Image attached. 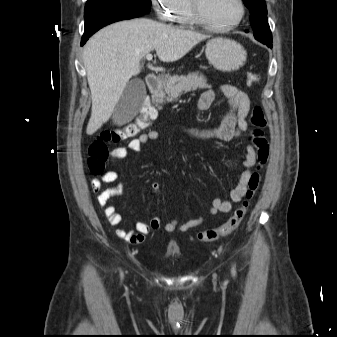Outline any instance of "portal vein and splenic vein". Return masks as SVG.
I'll return each instance as SVG.
<instances>
[{
    "label": "portal vein and splenic vein",
    "instance_id": "portal-vein-and-splenic-vein-1",
    "mask_svg": "<svg viewBox=\"0 0 337 337\" xmlns=\"http://www.w3.org/2000/svg\"><path fill=\"white\" fill-rule=\"evenodd\" d=\"M152 58H153L152 54L149 53V54L146 55V59L148 61L152 60Z\"/></svg>",
    "mask_w": 337,
    "mask_h": 337
}]
</instances>
